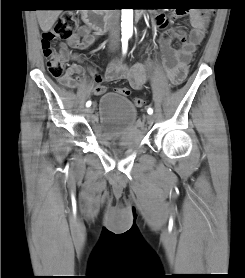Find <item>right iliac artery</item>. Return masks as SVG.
<instances>
[{
  "label": "right iliac artery",
  "mask_w": 245,
  "mask_h": 278,
  "mask_svg": "<svg viewBox=\"0 0 245 278\" xmlns=\"http://www.w3.org/2000/svg\"><path fill=\"white\" fill-rule=\"evenodd\" d=\"M122 50H123V53L125 54L126 51H127V47H128V38H122ZM86 106L89 107L91 106V101H88L86 103Z\"/></svg>",
  "instance_id": "1"
}]
</instances>
